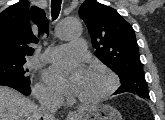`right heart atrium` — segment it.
<instances>
[{
    "label": "right heart atrium",
    "instance_id": "d8ad5b80",
    "mask_svg": "<svg viewBox=\"0 0 165 120\" xmlns=\"http://www.w3.org/2000/svg\"><path fill=\"white\" fill-rule=\"evenodd\" d=\"M34 92L36 96L42 100L56 101L59 99V95L43 83L36 84Z\"/></svg>",
    "mask_w": 165,
    "mask_h": 120
}]
</instances>
